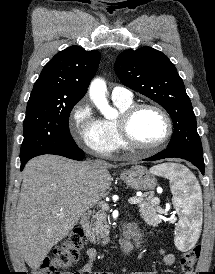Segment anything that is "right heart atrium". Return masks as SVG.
Here are the masks:
<instances>
[{
	"instance_id": "1",
	"label": "right heart atrium",
	"mask_w": 215,
	"mask_h": 274,
	"mask_svg": "<svg viewBox=\"0 0 215 274\" xmlns=\"http://www.w3.org/2000/svg\"><path fill=\"white\" fill-rule=\"evenodd\" d=\"M69 129L76 143L88 152L99 156H108L112 152L111 141L101 129L100 120L95 117L86 99L73 107Z\"/></svg>"
}]
</instances>
